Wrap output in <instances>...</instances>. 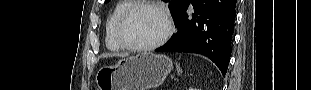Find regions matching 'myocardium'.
I'll return each instance as SVG.
<instances>
[{"label":"myocardium","mask_w":311,"mask_h":90,"mask_svg":"<svg viewBox=\"0 0 311 90\" xmlns=\"http://www.w3.org/2000/svg\"><path fill=\"white\" fill-rule=\"evenodd\" d=\"M141 8H150L158 13L163 17L165 24H166V30L162 37L157 40L156 42L149 44V45H144V46H135L130 43H128L122 34V29L128 18L137 10ZM174 32V23L172 20V17L168 10L163 7L160 4L154 3V2H138L133 4L130 8H128L118 19L116 28H115V35L118 43L120 46L126 50H129L131 52H136V53H144V52H149L152 51L162 45H164L169 38L172 36Z\"/></svg>","instance_id":"obj_1"}]
</instances>
